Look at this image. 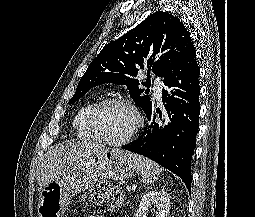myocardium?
<instances>
[{"label":"myocardium","mask_w":255,"mask_h":217,"mask_svg":"<svg viewBox=\"0 0 255 217\" xmlns=\"http://www.w3.org/2000/svg\"><path fill=\"white\" fill-rule=\"evenodd\" d=\"M111 105H121L129 108L135 116V125L133 129L130 131V133L125 136L122 139L119 140H112L109 138H106L99 130L96 124V116L97 114L105 107L111 106ZM87 125L89 130L92 132V134L96 137V139L100 140L104 144L110 145V146H123L131 141L134 140V138L137 136L139 131L141 130L143 126V117L139 111V109L128 99L124 98H106L98 101L96 104H94L90 110L88 111L87 117Z\"/></svg>","instance_id":"f54148a6"}]
</instances>
